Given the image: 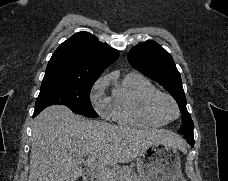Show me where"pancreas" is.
<instances>
[{"mask_svg":"<svg viewBox=\"0 0 228 181\" xmlns=\"http://www.w3.org/2000/svg\"><path fill=\"white\" fill-rule=\"evenodd\" d=\"M109 173H111L109 177H113V175H116V177L106 179V175H103V177L98 175L97 181H140L139 175H136L130 167H114V169H110Z\"/></svg>","mask_w":228,"mask_h":181,"instance_id":"obj_1","label":"pancreas"}]
</instances>
